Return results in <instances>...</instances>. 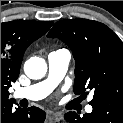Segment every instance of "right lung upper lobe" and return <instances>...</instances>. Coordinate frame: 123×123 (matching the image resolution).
<instances>
[{
    "label": "right lung upper lobe",
    "instance_id": "obj_1",
    "mask_svg": "<svg viewBox=\"0 0 123 123\" xmlns=\"http://www.w3.org/2000/svg\"><path fill=\"white\" fill-rule=\"evenodd\" d=\"M52 25L53 22L32 20L1 23V100H11L8 89L18 78L27 47Z\"/></svg>",
    "mask_w": 123,
    "mask_h": 123
}]
</instances>
